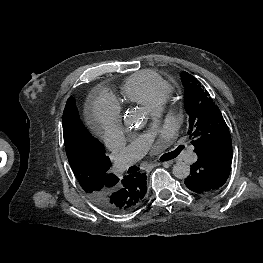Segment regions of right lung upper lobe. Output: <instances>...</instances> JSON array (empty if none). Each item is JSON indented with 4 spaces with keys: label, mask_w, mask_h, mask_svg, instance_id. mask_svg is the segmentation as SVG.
Masks as SVG:
<instances>
[{
    "label": "right lung upper lobe",
    "mask_w": 263,
    "mask_h": 263,
    "mask_svg": "<svg viewBox=\"0 0 263 263\" xmlns=\"http://www.w3.org/2000/svg\"><path fill=\"white\" fill-rule=\"evenodd\" d=\"M64 143H65V137H64ZM116 177L117 176L109 173L108 170L103 177L102 188L97 192L105 190L108 183ZM128 193L129 195H128L127 203L123 207H121L117 213H124L135 209L141 202L142 198L145 196L146 187L132 183L128 187Z\"/></svg>",
    "instance_id": "right-lung-upper-lobe-1"
}]
</instances>
